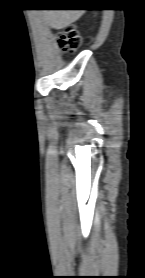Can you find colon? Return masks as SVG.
Returning <instances> with one entry per match:
<instances>
[{
  "instance_id": "5ec220e1",
  "label": "colon",
  "mask_w": 145,
  "mask_h": 278,
  "mask_svg": "<svg viewBox=\"0 0 145 278\" xmlns=\"http://www.w3.org/2000/svg\"><path fill=\"white\" fill-rule=\"evenodd\" d=\"M59 46L65 53H72L80 43V37L76 29L67 27L58 38Z\"/></svg>"
}]
</instances>
